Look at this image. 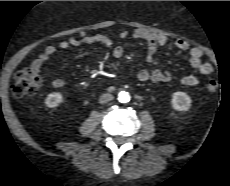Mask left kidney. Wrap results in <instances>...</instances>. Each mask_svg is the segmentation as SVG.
<instances>
[{"mask_svg": "<svg viewBox=\"0 0 230 186\" xmlns=\"http://www.w3.org/2000/svg\"><path fill=\"white\" fill-rule=\"evenodd\" d=\"M191 103V98L185 92L178 91L172 95V107L176 111H187Z\"/></svg>", "mask_w": 230, "mask_h": 186, "instance_id": "1", "label": "left kidney"}]
</instances>
